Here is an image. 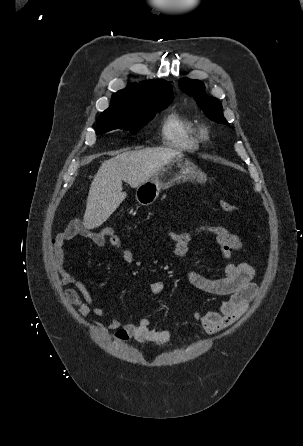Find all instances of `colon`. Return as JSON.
Wrapping results in <instances>:
<instances>
[{
  "label": "colon",
  "instance_id": "obj_1",
  "mask_svg": "<svg viewBox=\"0 0 303 446\" xmlns=\"http://www.w3.org/2000/svg\"><path fill=\"white\" fill-rule=\"evenodd\" d=\"M219 206L222 209V211H224L226 213H232V212H234L236 210V207L232 203H230L228 201H225V200H220L219 201ZM102 234L105 237H112V236L116 235L115 232H114V229L112 227H110V226L104 228L102 230Z\"/></svg>",
  "mask_w": 303,
  "mask_h": 446
}]
</instances>
